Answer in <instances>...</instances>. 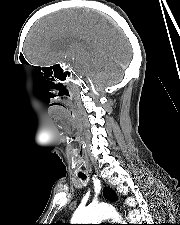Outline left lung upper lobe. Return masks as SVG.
I'll return each instance as SVG.
<instances>
[{
	"mask_svg": "<svg viewBox=\"0 0 180 225\" xmlns=\"http://www.w3.org/2000/svg\"><path fill=\"white\" fill-rule=\"evenodd\" d=\"M104 196L109 199V200H115L116 196L115 194L108 188L104 189ZM54 225H65V224H61V223H56Z\"/></svg>",
	"mask_w": 180,
	"mask_h": 225,
	"instance_id": "obj_1",
	"label": "left lung upper lobe"
}]
</instances>
